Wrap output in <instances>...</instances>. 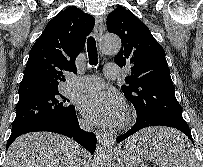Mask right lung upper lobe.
Returning <instances> with one entry per match:
<instances>
[{
    "label": "right lung upper lobe",
    "mask_w": 203,
    "mask_h": 167,
    "mask_svg": "<svg viewBox=\"0 0 203 167\" xmlns=\"http://www.w3.org/2000/svg\"><path fill=\"white\" fill-rule=\"evenodd\" d=\"M95 24L93 16L69 7L51 19L31 48L19 87V102L58 90Z\"/></svg>",
    "instance_id": "1"
}]
</instances>
